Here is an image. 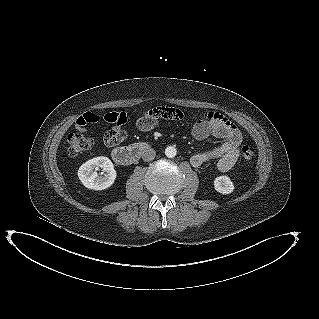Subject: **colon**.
I'll use <instances>...</instances> for the list:
<instances>
[{
	"label": "colon",
	"instance_id": "obj_1",
	"mask_svg": "<svg viewBox=\"0 0 319 319\" xmlns=\"http://www.w3.org/2000/svg\"><path fill=\"white\" fill-rule=\"evenodd\" d=\"M107 122L120 126L126 123L127 116L124 112H112L104 116ZM68 148L67 152L70 156L80 155L88 150H90L95 142L92 138L85 136L81 133L71 132L67 136ZM242 157L245 162L251 163L255 158L254 151L248 146L242 148Z\"/></svg>",
	"mask_w": 319,
	"mask_h": 319
}]
</instances>
